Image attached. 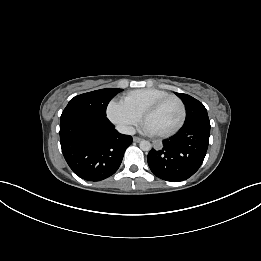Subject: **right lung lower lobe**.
<instances>
[{
  "label": "right lung lower lobe",
  "instance_id": "right-lung-lower-lobe-1",
  "mask_svg": "<svg viewBox=\"0 0 261 261\" xmlns=\"http://www.w3.org/2000/svg\"><path fill=\"white\" fill-rule=\"evenodd\" d=\"M60 143L75 174L88 181H100L118 170L132 137L120 134L106 116L64 110Z\"/></svg>",
  "mask_w": 261,
  "mask_h": 261
}]
</instances>
